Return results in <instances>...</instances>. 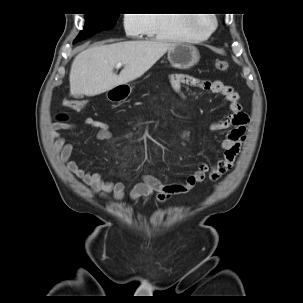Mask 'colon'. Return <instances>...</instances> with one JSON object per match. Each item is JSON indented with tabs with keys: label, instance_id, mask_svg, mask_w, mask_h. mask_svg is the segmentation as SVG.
Here are the masks:
<instances>
[{
	"label": "colon",
	"instance_id": "1",
	"mask_svg": "<svg viewBox=\"0 0 303 303\" xmlns=\"http://www.w3.org/2000/svg\"><path fill=\"white\" fill-rule=\"evenodd\" d=\"M215 67L220 72H225L228 70V62L226 60L219 59L215 62ZM68 106L75 110H81L84 107V103L82 101H69ZM66 116H62L61 120H66Z\"/></svg>",
	"mask_w": 303,
	"mask_h": 303
}]
</instances>
